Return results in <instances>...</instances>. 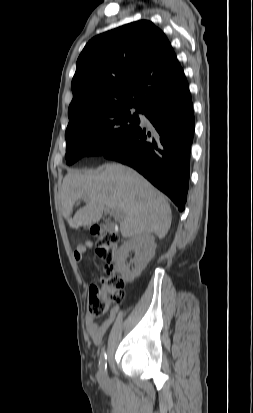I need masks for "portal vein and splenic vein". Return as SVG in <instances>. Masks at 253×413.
I'll use <instances>...</instances> for the list:
<instances>
[{"instance_id": "portal-vein-and-splenic-vein-1", "label": "portal vein and splenic vein", "mask_w": 253, "mask_h": 413, "mask_svg": "<svg viewBox=\"0 0 253 413\" xmlns=\"http://www.w3.org/2000/svg\"><path fill=\"white\" fill-rule=\"evenodd\" d=\"M105 212H107V213H110V214H112V215H115V216H120V212L118 211V210H113V209H105Z\"/></svg>"}]
</instances>
